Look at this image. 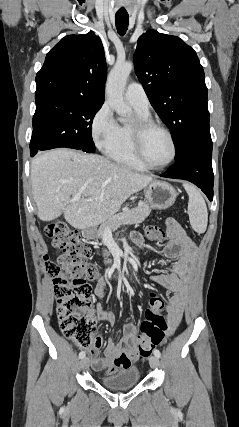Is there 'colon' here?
Returning a JSON list of instances; mask_svg holds the SVG:
<instances>
[{"label":"colon","instance_id":"5ec220e1","mask_svg":"<svg viewBox=\"0 0 239 427\" xmlns=\"http://www.w3.org/2000/svg\"><path fill=\"white\" fill-rule=\"evenodd\" d=\"M158 223L146 229V236L155 244L163 242L164 233ZM46 235L61 250L57 262L45 258V271L52 278L57 305L56 312L63 334L78 347L89 350L93 346L96 324L92 310L91 281L99 275L98 267L89 262L90 249L79 233L65 223H53L45 228ZM149 306L142 321L138 339L140 358L150 356L168 328L162 315L165 297L149 291Z\"/></svg>","mask_w":239,"mask_h":427}]
</instances>
